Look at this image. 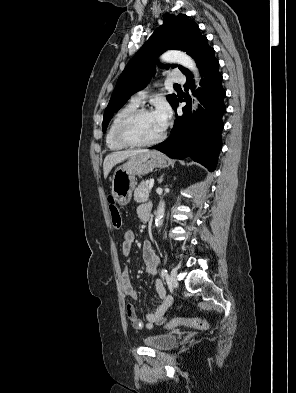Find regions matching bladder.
Returning <instances> with one entry per match:
<instances>
[{
    "mask_svg": "<svg viewBox=\"0 0 296 393\" xmlns=\"http://www.w3.org/2000/svg\"><path fill=\"white\" fill-rule=\"evenodd\" d=\"M178 338L174 334H162L148 336L143 339V343L153 349L166 351L176 346Z\"/></svg>",
    "mask_w": 296,
    "mask_h": 393,
    "instance_id": "1",
    "label": "bladder"
}]
</instances>
